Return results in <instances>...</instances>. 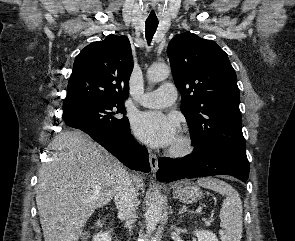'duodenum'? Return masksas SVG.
<instances>
[{
	"label": "duodenum",
	"mask_w": 295,
	"mask_h": 241,
	"mask_svg": "<svg viewBox=\"0 0 295 241\" xmlns=\"http://www.w3.org/2000/svg\"><path fill=\"white\" fill-rule=\"evenodd\" d=\"M107 228L110 232L114 233V225L111 221H108ZM116 241H118V240H116Z\"/></svg>",
	"instance_id": "410a0bca"
}]
</instances>
